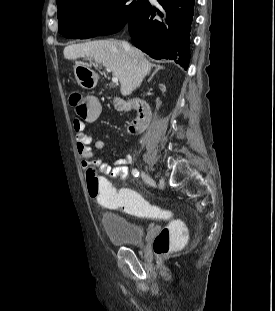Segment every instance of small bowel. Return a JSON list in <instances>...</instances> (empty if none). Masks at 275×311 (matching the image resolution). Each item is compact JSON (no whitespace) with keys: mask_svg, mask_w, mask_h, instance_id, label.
Returning <instances> with one entry per match:
<instances>
[{"mask_svg":"<svg viewBox=\"0 0 275 311\" xmlns=\"http://www.w3.org/2000/svg\"><path fill=\"white\" fill-rule=\"evenodd\" d=\"M74 130L76 132V149L84 171L88 173L90 169H94L102 175L109 176L111 178H121L123 180L129 176V169L127 165L132 162L131 156L126 155L116 160L113 165L102 159H95L94 151L91 146L93 138L90 133L85 131L84 122L76 119L74 121ZM105 147L106 143L102 139H98L94 142V148L96 150L103 151Z\"/></svg>","mask_w":275,"mask_h":311,"instance_id":"obj_1","label":"small bowel"}]
</instances>
